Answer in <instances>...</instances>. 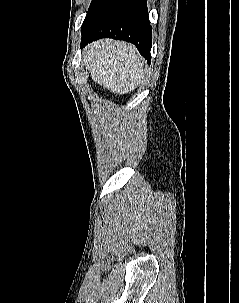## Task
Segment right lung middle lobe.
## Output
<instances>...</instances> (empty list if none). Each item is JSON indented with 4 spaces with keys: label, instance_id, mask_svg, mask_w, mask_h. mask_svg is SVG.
Here are the masks:
<instances>
[{
    "label": "right lung middle lobe",
    "instance_id": "right-lung-middle-lobe-1",
    "mask_svg": "<svg viewBox=\"0 0 239 303\" xmlns=\"http://www.w3.org/2000/svg\"><path fill=\"white\" fill-rule=\"evenodd\" d=\"M107 2L108 0H92L86 18L83 22L82 30L92 22L96 14L104 7Z\"/></svg>",
    "mask_w": 239,
    "mask_h": 303
}]
</instances>
